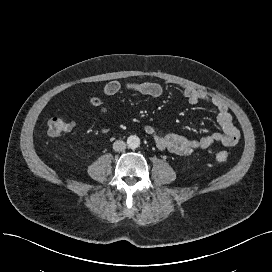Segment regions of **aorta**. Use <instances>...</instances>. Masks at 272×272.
I'll list each match as a JSON object with an SVG mask.
<instances>
[{
  "label": "aorta",
  "instance_id": "aorta-1",
  "mask_svg": "<svg viewBox=\"0 0 272 272\" xmlns=\"http://www.w3.org/2000/svg\"><path fill=\"white\" fill-rule=\"evenodd\" d=\"M127 145L131 149H135L140 146V139L136 135H131L127 138Z\"/></svg>",
  "mask_w": 272,
  "mask_h": 272
}]
</instances>
